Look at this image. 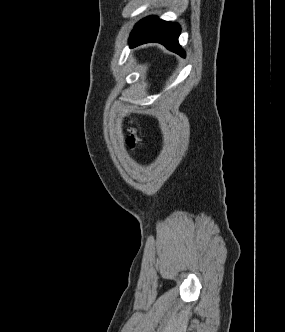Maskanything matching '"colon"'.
<instances>
[{"label": "colon", "mask_w": 285, "mask_h": 332, "mask_svg": "<svg viewBox=\"0 0 285 332\" xmlns=\"http://www.w3.org/2000/svg\"><path fill=\"white\" fill-rule=\"evenodd\" d=\"M141 139L138 130L135 126H130L129 136L126 139V144L131 152H135Z\"/></svg>", "instance_id": "obj_1"}]
</instances>
